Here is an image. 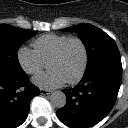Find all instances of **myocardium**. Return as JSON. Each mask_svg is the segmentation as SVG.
<instances>
[{
    "label": "myocardium",
    "instance_id": "obj_1",
    "mask_svg": "<svg viewBox=\"0 0 128 128\" xmlns=\"http://www.w3.org/2000/svg\"><path fill=\"white\" fill-rule=\"evenodd\" d=\"M77 42L80 44L82 51H83V64L81 67V70L79 73L72 79L66 81L68 84H75L78 83L85 75L87 68H88V63H89V52H88V47L83 39L80 37H70L68 38L58 49V51L50 58V61H57L63 58L68 46L73 43Z\"/></svg>",
    "mask_w": 128,
    "mask_h": 128
}]
</instances>
